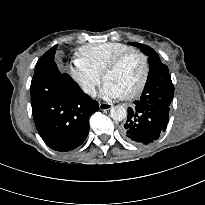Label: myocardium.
I'll list each match as a JSON object with an SVG mask.
<instances>
[{"instance_id": "f54148a6", "label": "myocardium", "mask_w": 205, "mask_h": 205, "mask_svg": "<svg viewBox=\"0 0 205 205\" xmlns=\"http://www.w3.org/2000/svg\"><path fill=\"white\" fill-rule=\"evenodd\" d=\"M130 55H137L140 57L141 61H142V65H143V71H142V76L140 78L139 83L137 84V86L130 91L127 94L122 95L123 99H132L135 98L136 96H138L143 89L146 86V83L148 81L149 78V73H150V66H149V60L148 57L146 56L145 53H143L142 51L138 50V49H129L127 51H124L120 54H118L116 57H114L104 68L103 72H102V80L105 81L106 76L114 71L127 57H129Z\"/></svg>"}]
</instances>
